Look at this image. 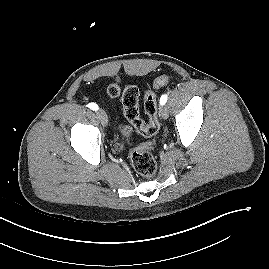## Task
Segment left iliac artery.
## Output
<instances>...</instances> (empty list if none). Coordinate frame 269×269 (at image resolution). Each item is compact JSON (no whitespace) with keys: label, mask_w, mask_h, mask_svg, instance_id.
Here are the masks:
<instances>
[{"label":"left iliac artery","mask_w":269,"mask_h":269,"mask_svg":"<svg viewBox=\"0 0 269 269\" xmlns=\"http://www.w3.org/2000/svg\"><path fill=\"white\" fill-rule=\"evenodd\" d=\"M167 98H168L167 94L162 95L160 98V104L164 105L167 102Z\"/></svg>","instance_id":"left-iliac-artery-1"}]
</instances>
